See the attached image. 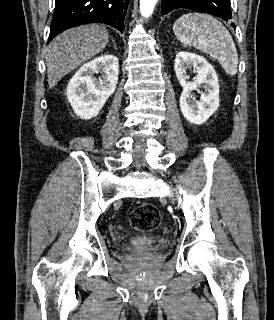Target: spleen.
I'll return each mask as SVG.
<instances>
[{"label": "spleen", "mask_w": 274, "mask_h": 320, "mask_svg": "<svg viewBox=\"0 0 274 320\" xmlns=\"http://www.w3.org/2000/svg\"><path fill=\"white\" fill-rule=\"evenodd\" d=\"M174 34L186 46H193L220 62L229 76H235L238 54L225 26L207 14H185L176 20Z\"/></svg>", "instance_id": "3e777b00"}]
</instances>
